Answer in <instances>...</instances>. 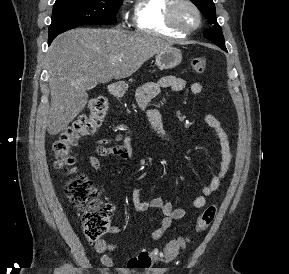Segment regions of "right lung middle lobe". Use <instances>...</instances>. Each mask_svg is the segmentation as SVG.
<instances>
[{"mask_svg": "<svg viewBox=\"0 0 289 274\" xmlns=\"http://www.w3.org/2000/svg\"><path fill=\"white\" fill-rule=\"evenodd\" d=\"M123 0H56L49 44L60 33L82 25H111Z\"/></svg>", "mask_w": 289, "mask_h": 274, "instance_id": "1", "label": "right lung middle lobe"}]
</instances>
